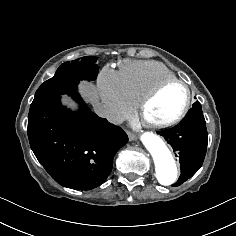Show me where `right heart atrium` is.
<instances>
[{
    "instance_id": "d8ad5b80",
    "label": "right heart atrium",
    "mask_w": 236,
    "mask_h": 236,
    "mask_svg": "<svg viewBox=\"0 0 236 236\" xmlns=\"http://www.w3.org/2000/svg\"><path fill=\"white\" fill-rule=\"evenodd\" d=\"M96 91L101 117L117 123L128 116L135 103L129 97L122 75L108 66L103 67L96 79Z\"/></svg>"
}]
</instances>
